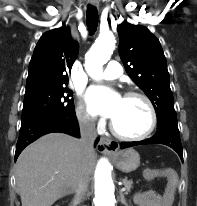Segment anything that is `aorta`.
Returning a JSON list of instances; mask_svg holds the SVG:
<instances>
[{
	"label": "aorta",
	"instance_id": "obj_1",
	"mask_svg": "<svg viewBox=\"0 0 197 206\" xmlns=\"http://www.w3.org/2000/svg\"><path fill=\"white\" fill-rule=\"evenodd\" d=\"M115 38L111 32L99 35L85 57V69L94 79H100L103 65L115 49ZM94 206H115V186L111 178V166L107 159L99 160L95 172Z\"/></svg>",
	"mask_w": 197,
	"mask_h": 206
}]
</instances>
